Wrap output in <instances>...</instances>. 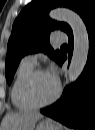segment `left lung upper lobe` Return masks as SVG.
I'll return each mask as SVG.
<instances>
[{
	"label": "left lung upper lobe",
	"mask_w": 95,
	"mask_h": 130,
	"mask_svg": "<svg viewBox=\"0 0 95 130\" xmlns=\"http://www.w3.org/2000/svg\"><path fill=\"white\" fill-rule=\"evenodd\" d=\"M63 6L76 11L83 20L95 12L93 0H35L28 4L16 18L7 46L5 75L11 83L21 58L29 53L43 51L55 61L61 52L54 51L48 44L50 32L60 29L72 35L66 23L51 20L48 16L52 8Z\"/></svg>",
	"instance_id": "5c2ea615"
}]
</instances>
